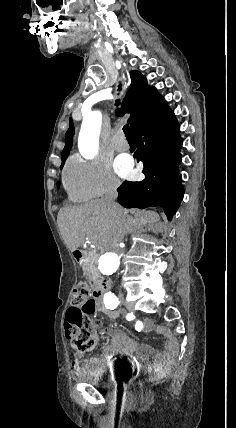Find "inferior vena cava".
I'll use <instances>...</instances> for the list:
<instances>
[{"label":"inferior vena cava","instance_id":"602c4592","mask_svg":"<svg viewBox=\"0 0 236 428\" xmlns=\"http://www.w3.org/2000/svg\"><path fill=\"white\" fill-rule=\"evenodd\" d=\"M118 184H119L118 180H114V178H110L107 186L106 198H104V200L106 202L107 208H110L112 212H116V214H118L119 216V214H121L120 206H118V204H116L115 202L117 198L116 190H117ZM110 250H114L118 256H123L125 252V249H110Z\"/></svg>","mask_w":236,"mask_h":428}]
</instances>
